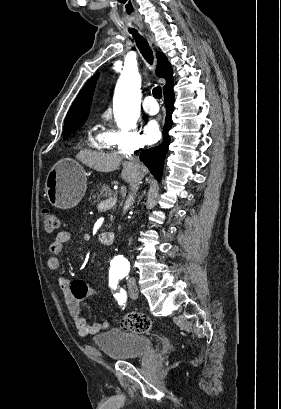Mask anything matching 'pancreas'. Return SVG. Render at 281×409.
I'll use <instances>...</instances> for the list:
<instances>
[{
    "label": "pancreas",
    "instance_id": "cf45deb5",
    "mask_svg": "<svg viewBox=\"0 0 281 409\" xmlns=\"http://www.w3.org/2000/svg\"><path fill=\"white\" fill-rule=\"evenodd\" d=\"M109 193H115V192L111 190L108 184H100V186H98L97 188V192H94V194H92L91 192L93 198H102V196H108ZM92 196H90V198H92Z\"/></svg>",
    "mask_w": 281,
    "mask_h": 409
}]
</instances>
